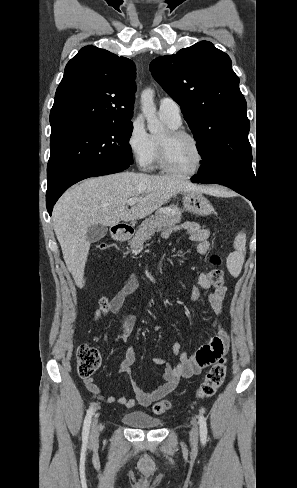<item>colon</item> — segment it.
Segmentation results:
<instances>
[{
	"label": "colon",
	"mask_w": 297,
	"mask_h": 488,
	"mask_svg": "<svg viewBox=\"0 0 297 488\" xmlns=\"http://www.w3.org/2000/svg\"><path fill=\"white\" fill-rule=\"evenodd\" d=\"M100 250L115 249L113 244L101 243L98 245ZM220 258L218 256H212L211 270L209 277L215 287L223 286V274L220 270ZM109 307V301L106 298L101 300L102 311H106ZM101 357L97 349L89 344H82L77 349V368L81 377H91L100 367ZM226 376V362L224 358H220L216 363L212 365L209 371L206 373L203 381L198 386L196 396L198 399L204 400L211 398L218 388L223 383ZM171 407V403L167 400H160L153 406L155 414H163Z\"/></svg>",
	"instance_id": "5ec220e1"
}]
</instances>
